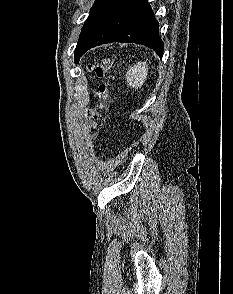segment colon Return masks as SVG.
I'll return each mask as SVG.
<instances>
[{
    "label": "colon",
    "mask_w": 233,
    "mask_h": 294,
    "mask_svg": "<svg viewBox=\"0 0 233 294\" xmlns=\"http://www.w3.org/2000/svg\"><path fill=\"white\" fill-rule=\"evenodd\" d=\"M110 68L111 62L108 59H99L96 65L90 68L101 82L94 92L89 105L84 108V119L89 122L93 123L99 119L100 109L109 98L112 89V76L109 73Z\"/></svg>",
    "instance_id": "colon-1"
}]
</instances>
